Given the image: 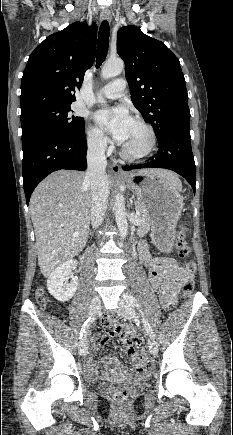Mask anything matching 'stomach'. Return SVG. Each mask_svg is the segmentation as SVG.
Masks as SVG:
<instances>
[{"instance_id": "stomach-1", "label": "stomach", "mask_w": 233, "mask_h": 435, "mask_svg": "<svg viewBox=\"0 0 233 435\" xmlns=\"http://www.w3.org/2000/svg\"><path fill=\"white\" fill-rule=\"evenodd\" d=\"M126 183L146 208L153 237L163 248L169 249L184 205L180 187L155 173H130Z\"/></svg>"}]
</instances>
